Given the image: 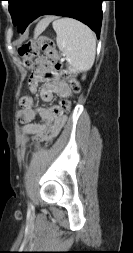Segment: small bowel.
<instances>
[{
  "instance_id": "c3829d8e",
  "label": "small bowel",
  "mask_w": 133,
  "mask_h": 253,
  "mask_svg": "<svg viewBox=\"0 0 133 253\" xmlns=\"http://www.w3.org/2000/svg\"><path fill=\"white\" fill-rule=\"evenodd\" d=\"M54 59V56L38 58L29 79L30 91L35 93L40 86L39 94L44 102H51L55 96L66 99L72 94L70 85L55 73L54 63L51 62ZM20 104L18 119L25 135L33 136L38 140H50L60 132L66 122V115L54 114L56 105L36 106L32 96L22 97ZM37 115L43 120L42 123L34 122Z\"/></svg>"
}]
</instances>
